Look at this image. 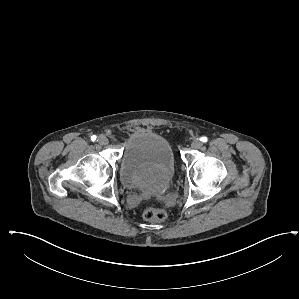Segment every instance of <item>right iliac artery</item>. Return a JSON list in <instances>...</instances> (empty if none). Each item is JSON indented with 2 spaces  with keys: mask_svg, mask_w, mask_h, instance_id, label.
<instances>
[{
  "mask_svg": "<svg viewBox=\"0 0 299 299\" xmlns=\"http://www.w3.org/2000/svg\"><path fill=\"white\" fill-rule=\"evenodd\" d=\"M96 138H97V137H96L95 135H92V136H91V140H92V141H95Z\"/></svg>",
  "mask_w": 299,
  "mask_h": 299,
  "instance_id": "right-iliac-artery-1",
  "label": "right iliac artery"
}]
</instances>
